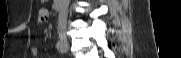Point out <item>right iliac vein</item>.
<instances>
[{"label":"right iliac vein","instance_id":"1","mask_svg":"<svg viewBox=\"0 0 181 58\" xmlns=\"http://www.w3.org/2000/svg\"><path fill=\"white\" fill-rule=\"evenodd\" d=\"M61 42L63 43L65 48L69 47L68 41H67V39L65 37H61Z\"/></svg>","mask_w":181,"mask_h":58}]
</instances>
